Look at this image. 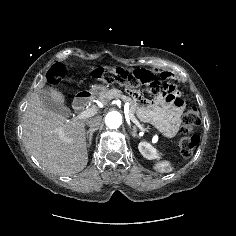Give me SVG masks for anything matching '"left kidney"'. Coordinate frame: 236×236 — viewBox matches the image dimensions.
<instances>
[{"label": "left kidney", "mask_w": 236, "mask_h": 236, "mask_svg": "<svg viewBox=\"0 0 236 236\" xmlns=\"http://www.w3.org/2000/svg\"><path fill=\"white\" fill-rule=\"evenodd\" d=\"M138 149L140 153L145 157L146 159H156L158 158L157 150L149 143L147 142H140Z\"/></svg>", "instance_id": "obj_1"}]
</instances>
